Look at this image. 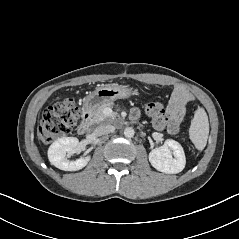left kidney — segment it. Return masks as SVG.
<instances>
[{
    "instance_id": "obj_1",
    "label": "left kidney",
    "mask_w": 239,
    "mask_h": 239,
    "mask_svg": "<svg viewBox=\"0 0 239 239\" xmlns=\"http://www.w3.org/2000/svg\"><path fill=\"white\" fill-rule=\"evenodd\" d=\"M151 165L160 172L176 174L181 172L186 164L182 146L175 140L168 139L164 145L149 153Z\"/></svg>"
}]
</instances>
